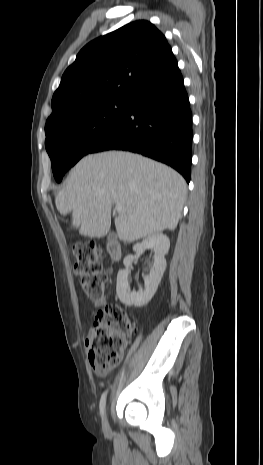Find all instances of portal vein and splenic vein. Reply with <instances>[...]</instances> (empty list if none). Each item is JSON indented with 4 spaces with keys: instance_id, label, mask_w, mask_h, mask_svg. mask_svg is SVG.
<instances>
[{
    "instance_id": "obj_1",
    "label": "portal vein and splenic vein",
    "mask_w": 263,
    "mask_h": 465,
    "mask_svg": "<svg viewBox=\"0 0 263 465\" xmlns=\"http://www.w3.org/2000/svg\"><path fill=\"white\" fill-rule=\"evenodd\" d=\"M115 210L117 212H122L124 210V205L121 204V203H117L116 206H115Z\"/></svg>"
}]
</instances>
